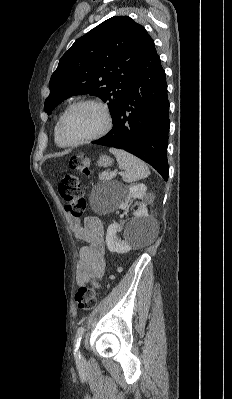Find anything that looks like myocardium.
<instances>
[{"instance_id":"myocardium-1","label":"myocardium","mask_w":232,"mask_h":399,"mask_svg":"<svg viewBox=\"0 0 232 399\" xmlns=\"http://www.w3.org/2000/svg\"><path fill=\"white\" fill-rule=\"evenodd\" d=\"M78 105H94L99 107L103 114H104V126L102 127V129L92 135L89 136L87 138L84 139H80V140H75L70 138L67 133L65 132V128H64V124H65V119L67 117V115L69 114V112L76 106ZM113 126V119H112V115L110 112V109L108 108V106L100 101H96V100H80V101H76L72 104H70L63 112V114L60 117L59 120V132L61 137L70 145H80V144H85V143H90L96 140H99L101 138H103L105 135H107L110 130L112 129Z\"/></svg>"}]
</instances>
